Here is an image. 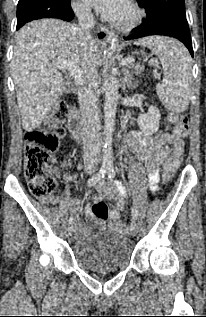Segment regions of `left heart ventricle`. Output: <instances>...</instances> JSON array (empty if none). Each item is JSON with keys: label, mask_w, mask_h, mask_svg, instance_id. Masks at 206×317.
I'll use <instances>...</instances> for the list:
<instances>
[{"label": "left heart ventricle", "mask_w": 206, "mask_h": 317, "mask_svg": "<svg viewBox=\"0 0 206 317\" xmlns=\"http://www.w3.org/2000/svg\"><path fill=\"white\" fill-rule=\"evenodd\" d=\"M131 14H132V12L124 0L121 3V5L119 6V8L117 9V11L112 19H114L116 21L123 22V21H126L127 19H129Z\"/></svg>", "instance_id": "1"}]
</instances>
